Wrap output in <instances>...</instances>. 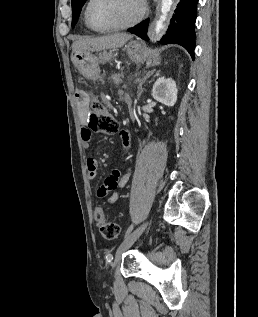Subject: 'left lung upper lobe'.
Listing matches in <instances>:
<instances>
[{
    "mask_svg": "<svg viewBox=\"0 0 258 317\" xmlns=\"http://www.w3.org/2000/svg\"><path fill=\"white\" fill-rule=\"evenodd\" d=\"M86 0H72V27L75 26Z\"/></svg>",
    "mask_w": 258,
    "mask_h": 317,
    "instance_id": "5c2ea615",
    "label": "left lung upper lobe"
}]
</instances>
